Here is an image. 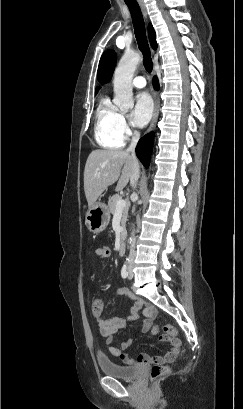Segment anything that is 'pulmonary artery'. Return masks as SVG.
I'll return each mask as SVG.
<instances>
[{"instance_id": "e3ab8cb5", "label": "pulmonary artery", "mask_w": 243, "mask_h": 409, "mask_svg": "<svg viewBox=\"0 0 243 409\" xmlns=\"http://www.w3.org/2000/svg\"><path fill=\"white\" fill-rule=\"evenodd\" d=\"M132 84L136 88H144L146 86V79L144 76H136L133 79Z\"/></svg>"}]
</instances>
